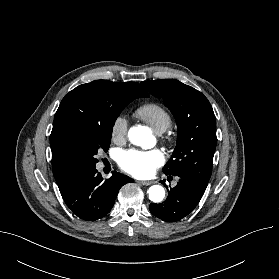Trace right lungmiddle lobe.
Masks as SVG:
<instances>
[{
  "label": "right lung middle lobe",
  "mask_w": 279,
  "mask_h": 279,
  "mask_svg": "<svg viewBox=\"0 0 279 279\" xmlns=\"http://www.w3.org/2000/svg\"><path fill=\"white\" fill-rule=\"evenodd\" d=\"M134 98L118 97L106 105L102 121L82 133L77 140V160L80 169L95 167L99 150L107 152L112 136V127L122 109Z\"/></svg>",
  "instance_id": "right-lung-middle-lobe-1"
}]
</instances>
